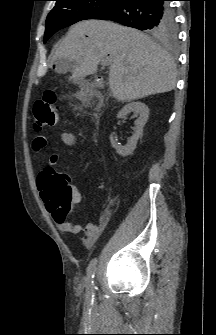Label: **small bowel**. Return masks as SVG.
I'll list each match as a JSON object with an SVG mask.
<instances>
[{
    "label": "small bowel",
    "instance_id": "1",
    "mask_svg": "<svg viewBox=\"0 0 216 335\" xmlns=\"http://www.w3.org/2000/svg\"><path fill=\"white\" fill-rule=\"evenodd\" d=\"M63 144L72 149H80L84 143L85 138L82 134L73 135L70 133H62L60 137ZM47 144V138L45 136H37L34 138L32 143V149L35 153H40ZM58 161V155H52L47 166L38 174L37 177V188L40 192L41 198L46 205L47 210L52 214L57 227L67 233L77 235L84 232L82 243L85 247L91 248L99 238L102 229L106 224V216H103L98 224L87 222L85 226L77 223H72L67 220L66 212L63 206L58 204L50 191V185L57 176L55 172V166ZM70 191L73 198V203H80L81 194L75 187H70ZM85 217L88 219V215Z\"/></svg>",
    "mask_w": 216,
    "mask_h": 335
}]
</instances>
